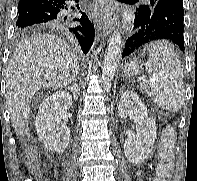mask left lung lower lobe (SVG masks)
<instances>
[{"label":"left lung lower lobe","instance_id":"0a47b994","mask_svg":"<svg viewBox=\"0 0 197 181\" xmlns=\"http://www.w3.org/2000/svg\"><path fill=\"white\" fill-rule=\"evenodd\" d=\"M184 9L181 0H160L152 13L135 19L132 35L126 40L122 58L154 40H170L184 52Z\"/></svg>","mask_w":197,"mask_h":181}]
</instances>
